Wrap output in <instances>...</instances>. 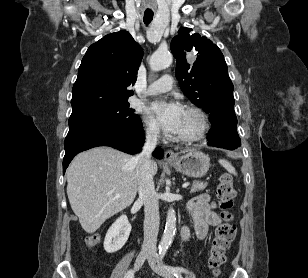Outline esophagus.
Masks as SVG:
<instances>
[{
	"mask_svg": "<svg viewBox=\"0 0 308 278\" xmlns=\"http://www.w3.org/2000/svg\"><path fill=\"white\" fill-rule=\"evenodd\" d=\"M164 158L166 161H173L175 160L176 156L172 150H167Z\"/></svg>",
	"mask_w": 308,
	"mask_h": 278,
	"instance_id": "34e87169",
	"label": "esophagus"
}]
</instances>
